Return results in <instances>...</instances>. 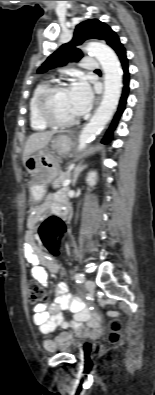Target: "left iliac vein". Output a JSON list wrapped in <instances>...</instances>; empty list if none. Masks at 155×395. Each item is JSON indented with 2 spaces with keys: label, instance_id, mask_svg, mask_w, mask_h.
I'll return each mask as SVG.
<instances>
[{
  "label": "left iliac vein",
  "instance_id": "obj_1",
  "mask_svg": "<svg viewBox=\"0 0 155 395\" xmlns=\"http://www.w3.org/2000/svg\"><path fill=\"white\" fill-rule=\"evenodd\" d=\"M85 287L91 294L95 292V284L92 280H86Z\"/></svg>",
  "mask_w": 155,
  "mask_h": 395
}]
</instances>
